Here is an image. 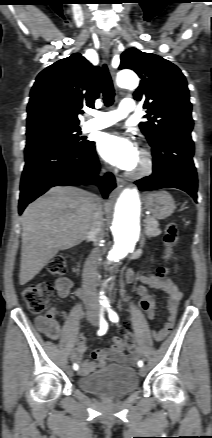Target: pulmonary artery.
<instances>
[{"instance_id":"obj_1","label":"pulmonary artery","mask_w":212,"mask_h":438,"mask_svg":"<svg viewBox=\"0 0 212 438\" xmlns=\"http://www.w3.org/2000/svg\"><path fill=\"white\" fill-rule=\"evenodd\" d=\"M137 111L136 104L133 100L124 99L120 103L118 109L101 111L95 115V118L85 123L83 130L85 132H91L95 130L104 129L109 127L121 119L134 114Z\"/></svg>"}]
</instances>
